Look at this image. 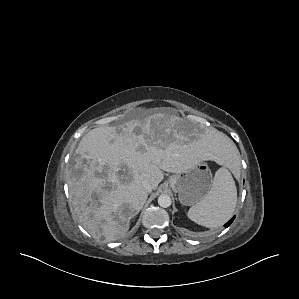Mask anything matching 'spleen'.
Instances as JSON below:
<instances>
[{"label":"spleen","instance_id":"3e777b00","mask_svg":"<svg viewBox=\"0 0 299 299\" xmlns=\"http://www.w3.org/2000/svg\"><path fill=\"white\" fill-rule=\"evenodd\" d=\"M236 151L233 152V155ZM237 204V189L230 171L222 167L216 171L208 195L192 206L187 216L195 223L207 228H217L226 223Z\"/></svg>","mask_w":299,"mask_h":299}]
</instances>
